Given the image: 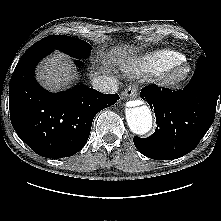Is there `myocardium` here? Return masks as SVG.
I'll use <instances>...</instances> for the list:
<instances>
[{
	"mask_svg": "<svg viewBox=\"0 0 221 221\" xmlns=\"http://www.w3.org/2000/svg\"><path fill=\"white\" fill-rule=\"evenodd\" d=\"M190 71L187 65L175 66L163 77V84L170 86L180 84L188 79Z\"/></svg>",
	"mask_w": 221,
	"mask_h": 221,
	"instance_id": "1",
	"label": "myocardium"
}]
</instances>
